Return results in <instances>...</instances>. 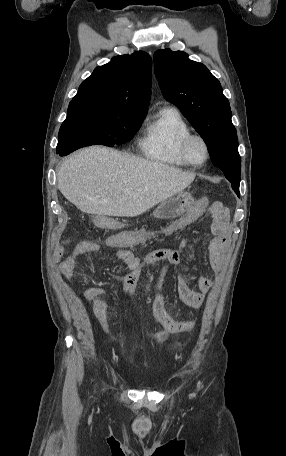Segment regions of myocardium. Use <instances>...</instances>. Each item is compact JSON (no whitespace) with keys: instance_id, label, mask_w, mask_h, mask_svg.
Returning <instances> with one entry per match:
<instances>
[{"instance_id":"myocardium-1","label":"myocardium","mask_w":286,"mask_h":456,"mask_svg":"<svg viewBox=\"0 0 286 456\" xmlns=\"http://www.w3.org/2000/svg\"><path fill=\"white\" fill-rule=\"evenodd\" d=\"M194 139L201 141V143L203 144V146L205 148V159L201 163H194L189 157V153H188L189 144ZM179 151H180V154L182 155L183 159L185 160V162L194 168H200V167L204 166L210 158V147H209L207 140L202 135L197 134V133L190 132L187 135H185L179 143Z\"/></svg>"}]
</instances>
